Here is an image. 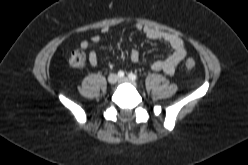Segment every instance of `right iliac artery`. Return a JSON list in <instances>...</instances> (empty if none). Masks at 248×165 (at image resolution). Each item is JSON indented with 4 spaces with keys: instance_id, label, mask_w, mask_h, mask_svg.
<instances>
[{
    "instance_id": "right-iliac-artery-1",
    "label": "right iliac artery",
    "mask_w": 248,
    "mask_h": 165,
    "mask_svg": "<svg viewBox=\"0 0 248 165\" xmlns=\"http://www.w3.org/2000/svg\"><path fill=\"white\" fill-rule=\"evenodd\" d=\"M118 76H119V77H123V76H124V72H123V71H119V72H118Z\"/></svg>"
}]
</instances>
